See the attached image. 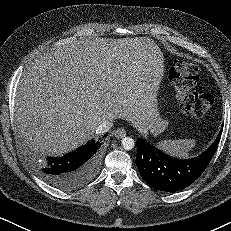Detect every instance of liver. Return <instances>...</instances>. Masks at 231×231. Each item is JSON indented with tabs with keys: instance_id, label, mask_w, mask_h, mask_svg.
<instances>
[{
	"instance_id": "6515ba94",
	"label": "liver",
	"mask_w": 231,
	"mask_h": 231,
	"mask_svg": "<svg viewBox=\"0 0 231 231\" xmlns=\"http://www.w3.org/2000/svg\"><path fill=\"white\" fill-rule=\"evenodd\" d=\"M163 56L148 37L76 40L44 54L21 76L19 131L35 150L63 155L118 118L147 133L158 115Z\"/></svg>"
}]
</instances>
